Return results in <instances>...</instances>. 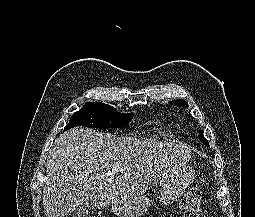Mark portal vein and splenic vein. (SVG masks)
I'll return each instance as SVG.
<instances>
[{"label":"portal vein and splenic vein","instance_id":"portal-vein-and-splenic-vein-1","mask_svg":"<svg viewBox=\"0 0 255 217\" xmlns=\"http://www.w3.org/2000/svg\"><path fill=\"white\" fill-rule=\"evenodd\" d=\"M121 171H123V169L121 168V166L116 165V166H113V167L111 168V170L107 171L105 174H106V175H114V174H116V173H118V172H121Z\"/></svg>","mask_w":255,"mask_h":217}]
</instances>
